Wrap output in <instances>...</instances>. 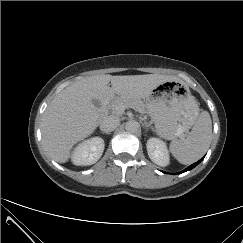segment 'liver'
I'll list each match as a JSON object with an SVG mask.
<instances>
[{
  "instance_id": "6515ba94",
  "label": "liver",
  "mask_w": 243,
  "mask_h": 243,
  "mask_svg": "<svg viewBox=\"0 0 243 243\" xmlns=\"http://www.w3.org/2000/svg\"><path fill=\"white\" fill-rule=\"evenodd\" d=\"M170 81L178 80L158 74H107L86 77L71 84L51 101L44 112L41 133L45 150L56 162H67L73 146L90 136L99 124L101 114L92 100H105L114 94L141 100L148 98L160 84Z\"/></svg>"
}]
</instances>
